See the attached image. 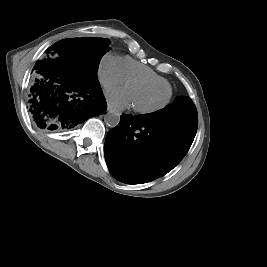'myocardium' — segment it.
I'll use <instances>...</instances> for the list:
<instances>
[{"instance_id": "obj_1", "label": "myocardium", "mask_w": 267, "mask_h": 267, "mask_svg": "<svg viewBox=\"0 0 267 267\" xmlns=\"http://www.w3.org/2000/svg\"><path fill=\"white\" fill-rule=\"evenodd\" d=\"M131 83H151V84L157 85V86H165L169 89V95L162 103H160L156 106H152V107H137V106L133 105L132 108L135 112H138L141 114H150V113L160 111L163 108H165L170 103V101L172 99V96H173L172 87L170 85H165L164 83H162L160 81H156V80H153V79L148 78V77L136 76V77H131V78L127 79L126 85L128 86Z\"/></svg>"}]
</instances>
